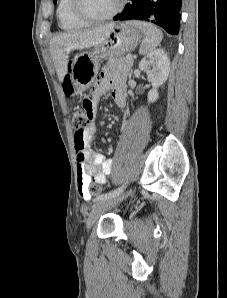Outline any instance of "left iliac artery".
Returning <instances> with one entry per match:
<instances>
[{"label": "left iliac artery", "mask_w": 227, "mask_h": 298, "mask_svg": "<svg viewBox=\"0 0 227 298\" xmlns=\"http://www.w3.org/2000/svg\"><path fill=\"white\" fill-rule=\"evenodd\" d=\"M124 189V185L119 187L118 189H115L113 191H110L108 193H105V194H102L100 196H98L95 201H100V200H105V199H109V198H112V197H115L117 195H119Z\"/></svg>", "instance_id": "obj_1"}]
</instances>
